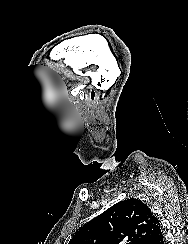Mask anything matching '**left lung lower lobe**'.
Wrapping results in <instances>:
<instances>
[{"instance_id":"0a47b994","label":"left lung lower lobe","mask_w":188,"mask_h":244,"mask_svg":"<svg viewBox=\"0 0 188 244\" xmlns=\"http://www.w3.org/2000/svg\"><path fill=\"white\" fill-rule=\"evenodd\" d=\"M148 244H164L163 234L159 223L154 230Z\"/></svg>"}]
</instances>
